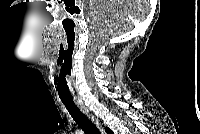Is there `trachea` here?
<instances>
[{"mask_svg": "<svg viewBox=\"0 0 200 134\" xmlns=\"http://www.w3.org/2000/svg\"><path fill=\"white\" fill-rule=\"evenodd\" d=\"M62 102L85 134H100L97 127L79 110L73 101Z\"/></svg>", "mask_w": 200, "mask_h": 134, "instance_id": "3493384b", "label": "trachea"}]
</instances>
